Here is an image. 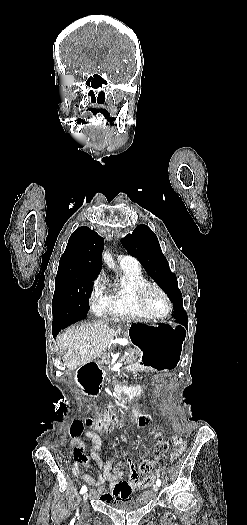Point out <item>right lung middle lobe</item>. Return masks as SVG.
Instances as JSON below:
<instances>
[{"label":"right lung middle lobe","instance_id":"right-lung-middle-lobe-1","mask_svg":"<svg viewBox=\"0 0 247 525\" xmlns=\"http://www.w3.org/2000/svg\"><path fill=\"white\" fill-rule=\"evenodd\" d=\"M97 274L82 271L57 272L52 300V326H68L87 316L93 280Z\"/></svg>","mask_w":247,"mask_h":525}]
</instances>
